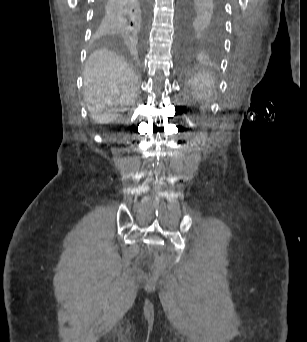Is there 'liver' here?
<instances>
[{"mask_svg":"<svg viewBox=\"0 0 307 342\" xmlns=\"http://www.w3.org/2000/svg\"><path fill=\"white\" fill-rule=\"evenodd\" d=\"M84 100L97 124H110L118 118L119 108L131 106L139 90V78L127 62L109 50H96L83 72Z\"/></svg>","mask_w":307,"mask_h":342,"instance_id":"6515ba94","label":"liver"}]
</instances>
